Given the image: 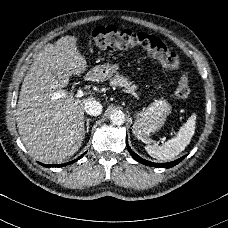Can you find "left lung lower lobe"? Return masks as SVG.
I'll use <instances>...</instances> for the list:
<instances>
[{
    "label": "left lung lower lobe",
    "instance_id": "left-lung-lower-lobe-1",
    "mask_svg": "<svg viewBox=\"0 0 228 228\" xmlns=\"http://www.w3.org/2000/svg\"><path fill=\"white\" fill-rule=\"evenodd\" d=\"M127 148L131 154V156L138 162L142 163V164H145V165H148V166H152V167H157V168H170V167H173L175 165H177L179 162H181L184 157L178 159V160H175L173 162H168V163H153V162H150V161H147V160H144L142 159L141 157H139L136 153H134L131 148L129 147L128 143H127Z\"/></svg>",
    "mask_w": 228,
    "mask_h": 228
}]
</instances>
